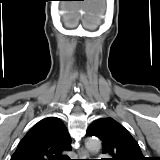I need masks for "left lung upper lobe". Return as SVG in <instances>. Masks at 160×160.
I'll list each match as a JSON object with an SVG mask.
<instances>
[{
  "instance_id": "obj_1",
  "label": "left lung upper lobe",
  "mask_w": 160,
  "mask_h": 160,
  "mask_svg": "<svg viewBox=\"0 0 160 160\" xmlns=\"http://www.w3.org/2000/svg\"><path fill=\"white\" fill-rule=\"evenodd\" d=\"M87 135L100 138L103 153L112 156L107 160H146L137 141L112 118L93 122L87 129Z\"/></svg>"
}]
</instances>
